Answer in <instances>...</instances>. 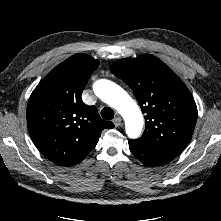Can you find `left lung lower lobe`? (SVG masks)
<instances>
[{"mask_svg":"<svg viewBox=\"0 0 221 221\" xmlns=\"http://www.w3.org/2000/svg\"><path fill=\"white\" fill-rule=\"evenodd\" d=\"M128 141L132 154L146 166L154 167L162 165L175 158V156L155 149L151 145L140 141L139 139H128Z\"/></svg>","mask_w":221,"mask_h":221,"instance_id":"0a47b994","label":"left lung lower lobe"}]
</instances>
